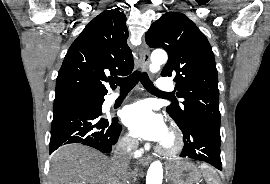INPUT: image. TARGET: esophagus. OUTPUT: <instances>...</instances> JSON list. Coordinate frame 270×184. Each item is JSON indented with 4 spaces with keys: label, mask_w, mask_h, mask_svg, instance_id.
I'll return each instance as SVG.
<instances>
[{
    "label": "esophagus",
    "mask_w": 270,
    "mask_h": 184,
    "mask_svg": "<svg viewBox=\"0 0 270 184\" xmlns=\"http://www.w3.org/2000/svg\"><path fill=\"white\" fill-rule=\"evenodd\" d=\"M149 56H150V50L145 42H143L141 48H140V66L143 71L146 70L148 62H149ZM152 158L151 156H145L140 159V164L142 165H148L151 162Z\"/></svg>",
    "instance_id": "1"
}]
</instances>
